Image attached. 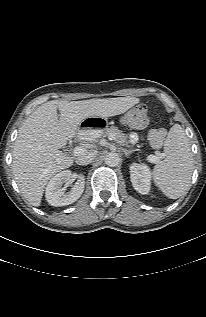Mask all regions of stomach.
<instances>
[{"label": "stomach", "mask_w": 206, "mask_h": 317, "mask_svg": "<svg viewBox=\"0 0 206 317\" xmlns=\"http://www.w3.org/2000/svg\"><path fill=\"white\" fill-rule=\"evenodd\" d=\"M118 124V119L113 114H108L103 117H88L80 121L76 126V135L84 141H96L100 137V133L115 128Z\"/></svg>", "instance_id": "stomach-1"}]
</instances>
